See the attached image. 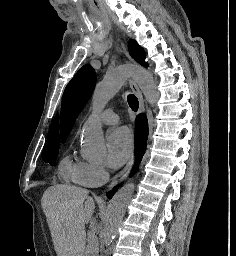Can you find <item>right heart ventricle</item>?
Masks as SVG:
<instances>
[{
  "label": "right heart ventricle",
  "instance_id": "1",
  "mask_svg": "<svg viewBox=\"0 0 236 256\" xmlns=\"http://www.w3.org/2000/svg\"><path fill=\"white\" fill-rule=\"evenodd\" d=\"M73 169L74 166L70 164L68 158H65L59 165L58 174L61 179L65 181H70L72 180Z\"/></svg>",
  "mask_w": 236,
  "mask_h": 256
}]
</instances>
